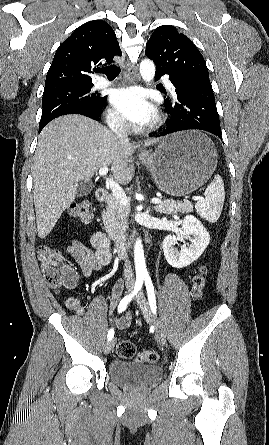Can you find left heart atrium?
<instances>
[{
  "mask_svg": "<svg viewBox=\"0 0 269 445\" xmlns=\"http://www.w3.org/2000/svg\"><path fill=\"white\" fill-rule=\"evenodd\" d=\"M112 103L132 124L145 126L152 122L154 109L137 88H121L112 94Z\"/></svg>",
  "mask_w": 269,
  "mask_h": 445,
  "instance_id": "1",
  "label": "left heart atrium"
}]
</instances>
